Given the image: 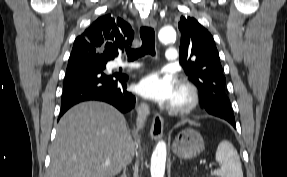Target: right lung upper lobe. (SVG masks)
Listing matches in <instances>:
<instances>
[{
    "mask_svg": "<svg viewBox=\"0 0 287 177\" xmlns=\"http://www.w3.org/2000/svg\"><path fill=\"white\" fill-rule=\"evenodd\" d=\"M133 38L134 32L127 22L103 15L75 39L69 61L87 56L113 60Z\"/></svg>",
    "mask_w": 287,
    "mask_h": 177,
    "instance_id": "1",
    "label": "right lung upper lobe"
}]
</instances>
